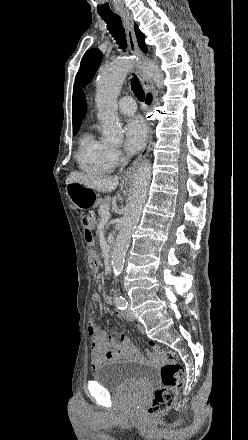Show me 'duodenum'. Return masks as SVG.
I'll use <instances>...</instances> for the list:
<instances>
[{"label":"duodenum","mask_w":248,"mask_h":440,"mask_svg":"<svg viewBox=\"0 0 248 440\" xmlns=\"http://www.w3.org/2000/svg\"><path fill=\"white\" fill-rule=\"evenodd\" d=\"M114 250H115V244H114V242H110L109 247L107 249V263H108V265L111 264V259H112Z\"/></svg>","instance_id":"410a0bca"}]
</instances>
